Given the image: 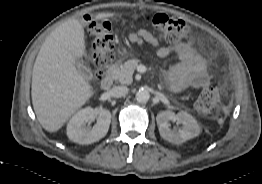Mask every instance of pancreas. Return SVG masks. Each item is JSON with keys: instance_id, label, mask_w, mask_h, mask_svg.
<instances>
[{"instance_id": "pancreas-1", "label": "pancreas", "mask_w": 262, "mask_h": 184, "mask_svg": "<svg viewBox=\"0 0 262 184\" xmlns=\"http://www.w3.org/2000/svg\"><path fill=\"white\" fill-rule=\"evenodd\" d=\"M140 63L139 59L127 60L124 64L120 66H114L111 69L112 78L121 84L129 85L132 83V76L134 70Z\"/></svg>"}]
</instances>
